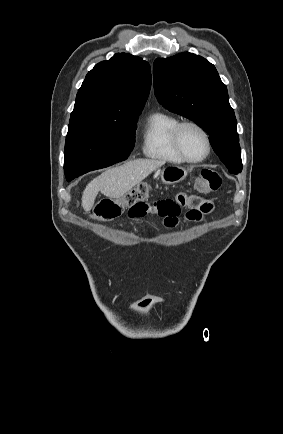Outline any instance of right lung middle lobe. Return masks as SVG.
<instances>
[{"label":"right lung middle lobe","mask_w":283,"mask_h":434,"mask_svg":"<svg viewBox=\"0 0 283 434\" xmlns=\"http://www.w3.org/2000/svg\"><path fill=\"white\" fill-rule=\"evenodd\" d=\"M138 117L110 121H70L64 151L67 181L128 158Z\"/></svg>","instance_id":"1"}]
</instances>
